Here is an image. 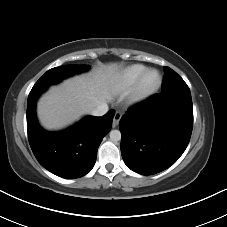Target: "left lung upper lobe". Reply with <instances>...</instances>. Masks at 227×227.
I'll return each mask as SVG.
<instances>
[{"instance_id": "left-lung-upper-lobe-1", "label": "left lung upper lobe", "mask_w": 227, "mask_h": 227, "mask_svg": "<svg viewBox=\"0 0 227 227\" xmlns=\"http://www.w3.org/2000/svg\"><path fill=\"white\" fill-rule=\"evenodd\" d=\"M164 73L162 93H190L187 84L175 71L169 67H164Z\"/></svg>"}]
</instances>
